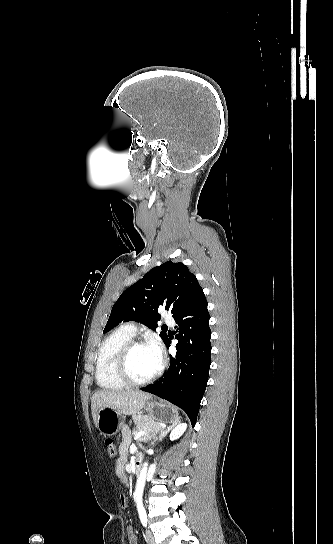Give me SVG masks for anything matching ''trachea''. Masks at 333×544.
<instances>
[{
    "label": "trachea",
    "instance_id": "1",
    "mask_svg": "<svg viewBox=\"0 0 333 544\" xmlns=\"http://www.w3.org/2000/svg\"><path fill=\"white\" fill-rule=\"evenodd\" d=\"M164 328H167V325H163Z\"/></svg>",
    "mask_w": 333,
    "mask_h": 544
}]
</instances>
